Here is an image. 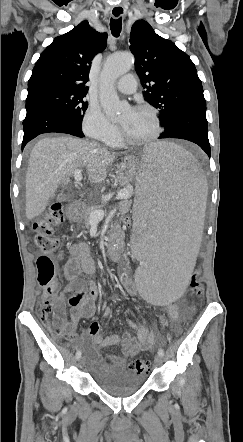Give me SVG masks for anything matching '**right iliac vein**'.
Wrapping results in <instances>:
<instances>
[{
	"label": "right iliac vein",
	"mask_w": 243,
	"mask_h": 442,
	"mask_svg": "<svg viewBox=\"0 0 243 442\" xmlns=\"http://www.w3.org/2000/svg\"><path fill=\"white\" fill-rule=\"evenodd\" d=\"M84 363H85V359L82 357V358L79 360V367L82 368V367L84 366Z\"/></svg>",
	"instance_id": "right-iliac-vein-1"
}]
</instances>
